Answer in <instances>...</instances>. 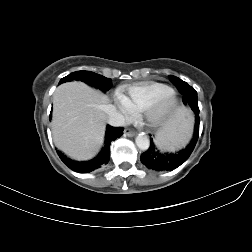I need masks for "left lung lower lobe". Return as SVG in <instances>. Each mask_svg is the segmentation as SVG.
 Listing matches in <instances>:
<instances>
[{
  "label": "left lung lower lobe",
  "instance_id": "obj_1",
  "mask_svg": "<svg viewBox=\"0 0 252 252\" xmlns=\"http://www.w3.org/2000/svg\"><path fill=\"white\" fill-rule=\"evenodd\" d=\"M176 87L183 95V103L189 105L195 112V130L193 139L189 145L176 153H161L151 140L150 147L141 156V162L149 169L156 171L173 170L183 164L195 148L199 136V108L197 104V92L186 82L177 83Z\"/></svg>",
  "mask_w": 252,
  "mask_h": 252
}]
</instances>
